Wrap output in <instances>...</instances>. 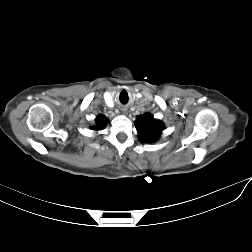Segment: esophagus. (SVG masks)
Instances as JSON below:
<instances>
[{
	"label": "esophagus",
	"instance_id": "1",
	"mask_svg": "<svg viewBox=\"0 0 252 252\" xmlns=\"http://www.w3.org/2000/svg\"><path fill=\"white\" fill-rule=\"evenodd\" d=\"M120 110H121L123 113H126V112H127V108H126L125 106H122V107L120 108Z\"/></svg>",
	"mask_w": 252,
	"mask_h": 252
}]
</instances>
